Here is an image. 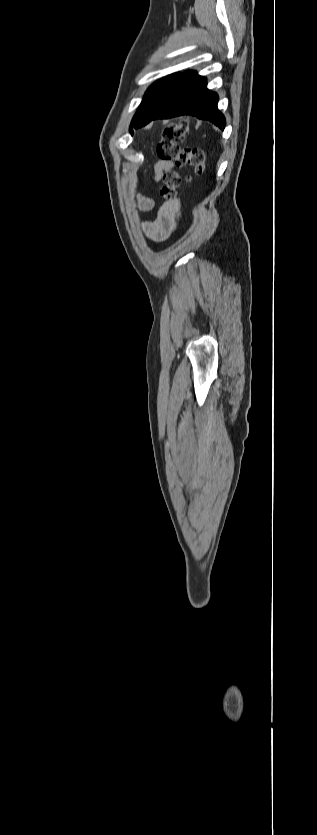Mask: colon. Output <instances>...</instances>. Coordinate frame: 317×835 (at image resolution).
<instances>
[{"label":"colon","instance_id":"5ec220e1","mask_svg":"<svg viewBox=\"0 0 317 835\" xmlns=\"http://www.w3.org/2000/svg\"><path fill=\"white\" fill-rule=\"evenodd\" d=\"M187 134L188 122L186 120L167 126L163 130L162 138L157 145V156L161 161L174 162L178 167L189 166L196 175H202L206 171L203 150L200 148L181 147V143L185 140ZM163 181L164 184L160 194L166 204H173L177 200L182 177L176 171H168L164 175Z\"/></svg>","mask_w":317,"mask_h":835}]
</instances>
